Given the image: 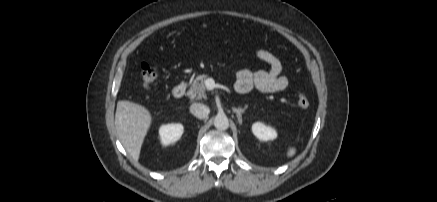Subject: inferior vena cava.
Returning a JSON list of instances; mask_svg holds the SVG:
<instances>
[{
  "mask_svg": "<svg viewBox=\"0 0 437 202\" xmlns=\"http://www.w3.org/2000/svg\"><path fill=\"white\" fill-rule=\"evenodd\" d=\"M190 112L199 119H204L208 116L210 110L209 107H207L204 104L201 103H193L190 106Z\"/></svg>",
  "mask_w": 437,
  "mask_h": 202,
  "instance_id": "obj_1",
  "label": "inferior vena cava"
}]
</instances>
